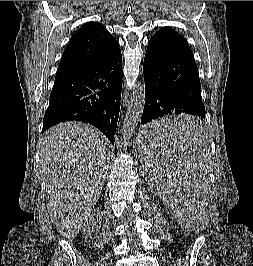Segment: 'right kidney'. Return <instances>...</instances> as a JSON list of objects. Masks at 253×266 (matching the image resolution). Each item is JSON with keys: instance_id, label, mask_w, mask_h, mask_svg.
Returning <instances> with one entry per match:
<instances>
[{"instance_id": "1", "label": "right kidney", "mask_w": 253, "mask_h": 266, "mask_svg": "<svg viewBox=\"0 0 253 266\" xmlns=\"http://www.w3.org/2000/svg\"><path fill=\"white\" fill-rule=\"evenodd\" d=\"M95 215H91L89 220L87 219L83 226V235L85 238L91 237L94 234H97L101 227V222L98 219L94 218Z\"/></svg>"}]
</instances>
